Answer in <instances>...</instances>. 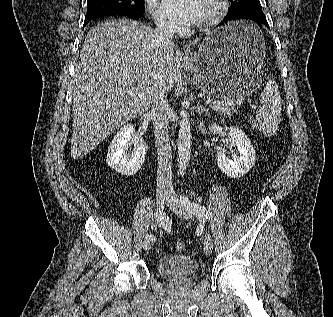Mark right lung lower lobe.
<instances>
[{
  "label": "right lung lower lobe",
  "mask_w": 333,
  "mask_h": 317,
  "mask_svg": "<svg viewBox=\"0 0 333 317\" xmlns=\"http://www.w3.org/2000/svg\"><path fill=\"white\" fill-rule=\"evenodd\" d=\"M102 16H104V15H102ZM98 17H100V16H86V17H85V20H84V26H85L90 20H92V19H94V18H98ZM128 17L135 18V19H138V18H139V17H137V16H128Z\"/></svg>",
  "instance_id": "right-lung-lower-lobe-1"
}]
</instances>
